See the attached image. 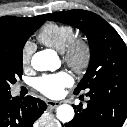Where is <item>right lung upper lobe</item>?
<instances>
[{
    "label": "right lung upper lobe",
    "mask_w": 127,
    "mask_h": 127,
    "mask_svg": "<svg viewBox=\"0 0 127 127\" xmlns=\"http://www.w3.org/2000/svg\"><path fill=\"white\" fill-rule=\"evenodd\" d=\"M48 14L30 17L5 16L0 18V37L10 34L13 31L25 29L33 24L45 22Z\"/></svg>",
    "instance_id": "cb5924a9"
}]
</instances>
